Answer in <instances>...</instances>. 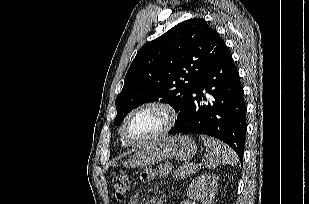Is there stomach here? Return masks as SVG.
Segmentation results:
<instances>
[{"mask_svg": "<svg viewBox=\"0 0 309 204\" xmlns=\"http://www.w3.org/2000/svg\"><path fill=\"white\" fill-rule=\"evenodd\" d=\"M197 152L196 143L188 136L176 135L153 140L140 147L124 166L129 168L143 167L174 159L187 161Z\"/></svg>", "mask_w": 309, "mask_h": 204, "instance_id": "0dacf381", "label": "stomach"}]
</instances>
